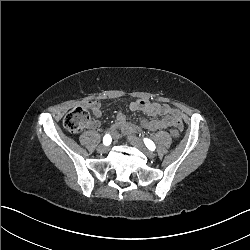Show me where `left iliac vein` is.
I'll use <instances>...</instances> for the list:
<instances>
[{
  "mask_svg": "<svg viewBox=\"0 0 250 250\" xmlns=\"http://www.w3.org/2000/svg\"><path fill=\"white\" fill-rule=\"evenodd\" d=\"M129 141L133 146L141 150L146 155V157L150 159L154 158V154L146 148V146L142 143L140 139L132 135L129 137Z\"/></svg>",
  "mask_w": 250,
  "mask_h": 250,
  "instance_id": "4c4485c4",
  "label": "left iliac vein"
}]
</instances>
